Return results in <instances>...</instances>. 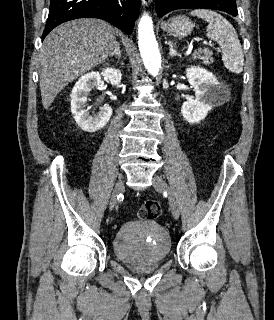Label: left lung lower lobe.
<instances>
[{
	"instance_id": "0a47b994",
	"label": "left lung lower lobe",
	"mask_w": 274,
	"mask_h": 320,
	"mask_svg": "<svg viewBox=\"0 0 274 320\" xmlns=\"http://www.w3.org/2000/svg\"><path fill=\"white\" fill-rule=\"evenodd\" d=\"M205 8L221 10L237 16L236 0H157L156 12L163 17L170 11L177 9Z\"/></svg>"
}]
</instances>
